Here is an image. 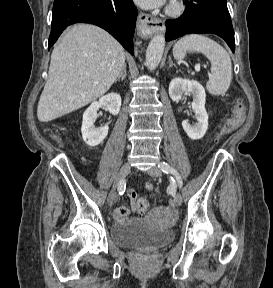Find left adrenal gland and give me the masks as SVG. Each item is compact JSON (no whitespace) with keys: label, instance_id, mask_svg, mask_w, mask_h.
<instances>
[{"label":"left adrenal gland","instance_id":"a2214340","mask_svg":"<svg viewBox=\"0 0 273 288\" xmlns=\"http://www.w3.org/2000/svg\"><path fill=\"white\" fill-rule=\"evenodd\" d=\"M176 67V65L175 64H173V61L171 60V58L169 57V68L170 67Z\"/></svg>","mask_w":273,"mask_h":288}]
</instances>
